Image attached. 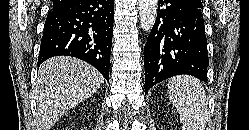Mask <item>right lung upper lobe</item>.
<instances>
[{"mask_svg": "<svg viewBox=\"0 0 249 130\" xmlns=\"http://www.w3.org/2000/svg\"><path fill=\"white\" fill-rule=\"evenodd\" d=\"M71 1L73 0H54L52 11L64 7L65 5L69 4Z\"/></svg>", "mask_w": 249, "mask_h": 130, "instance_id": "obj_1", "label": "right lung upper lobe"}]
</instances>
